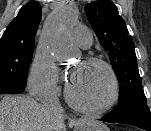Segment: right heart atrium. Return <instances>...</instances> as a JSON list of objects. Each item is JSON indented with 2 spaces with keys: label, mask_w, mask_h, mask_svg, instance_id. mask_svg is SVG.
I'll return each instance as SVG.
<instances>
[{
  "label": "right heart atrium",
  "mask_w": 151,
  "mask_h": 131,
  "mask_svg": "<svg viewBox=\"0 0 151 131\" xmlns=\"http://www.w3.org/2000/svg\"><path fill=\"white\" fill-rule=\"evenodd\" d=\"M56 70L51 58L37 52L30 66L28 89L36 98L52 96L56 92Z\"/></svg>",
  "instance_id": "1"
}]
</instances>
